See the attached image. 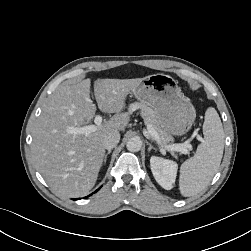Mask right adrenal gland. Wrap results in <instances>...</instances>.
<instances>
[{
    "label": "right adrenal gland",
    "mask_w": 251,
    "mask_h": 251,
    "mask_svg": "<svg viewBox=\"0 0 251 251\" xmlns=\"http://www.w3.org/2000/svg\"><path fill=\"white\" fill-rule=\"evenodd\" d=\"M111 153V150H108V152L105 154V156H104V164L106 163V161H107V157H108V155Z\"/></svg>",
    "instance_id": "1"
}]
</instances>
